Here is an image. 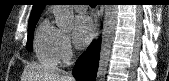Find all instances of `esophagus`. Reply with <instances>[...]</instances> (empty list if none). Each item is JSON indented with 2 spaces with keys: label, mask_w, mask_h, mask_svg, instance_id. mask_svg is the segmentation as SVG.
<instances>
[{
  "label": "esophagus",
  "mask_w": 169,
  "mask_h": 81,
  "mask_svg": "<svg viewBox=\"0 0 169 81\" xmlns=\"http://www.w3.org/2000/svg\"><path fill=\"white\" fill-rule=\"evenodd\" d=\"M102 12H103V9H102V6H97L96 10H95V13H94V18H95V26H96V38L98 37L99 35V26H100V17L102 16Z\"/></svg>",
  "instance_id": "esophagus-1"
}]
</instances>
